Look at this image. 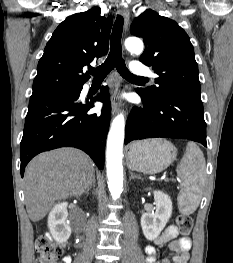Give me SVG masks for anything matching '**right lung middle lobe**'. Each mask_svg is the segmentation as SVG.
Segmentation results:
<instances>
[{
    "label": "right lung middle lobe",
    "instance_id": "obj_1",
    "mask_svg": "<svg viewBox=\"0 0 233 263\" xmlns=\"http://www.w3.org/2000/svg\"><path fill=\"white\" fill-rule=\"evenodd\" d=\"M51 94H52V93H51ZM46 95H49V94H46ZM42 96H44V95H42ZM37 97H39V96H37ZM31 98H35V97H31ZM31 98H30V99H31Z\"/></svg>",
    "mask_w": 233,
    "mask_h": 263
}]
</instances>
